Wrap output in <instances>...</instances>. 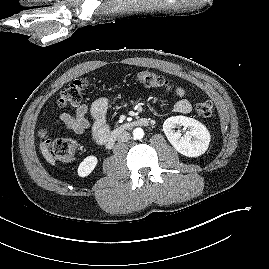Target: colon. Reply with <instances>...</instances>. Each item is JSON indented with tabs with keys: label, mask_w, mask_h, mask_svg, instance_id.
I'll list each match as a JSON object with an SVG mask.
<instances>
[{
	"label": "colon",
	"mask_w": 269,
	"mask_h": 269,
	"mask_svg": "<svg viewBox=\"0 0 269 269\" xmlns=\"http://www.w3.org/2000/svg\"><path fill=\"white\" fill-rule=\"evenodd\" d=\"M136 79L151 88H169L171 86L166 78L151 71L138 72ZM88 86L89 81L85 78L72 81L61 90L58 104L61 107L78 105ZM196 111L201 117L208 118L213 113V104L208 100L203 101L197 105ZM40 137L56 159L60 161H70L74 158L78 148L76 140L71 138H55L50 136L46 130L40 132Z\"/></svg>",
	"instance_id": "obj_1"
}]
</instances>
